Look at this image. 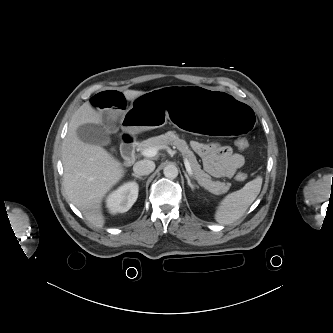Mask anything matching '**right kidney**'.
Returning <instances> with one entry per match:
<instances>
[{
    "mask_svg": "<svg viewBox=\"0 0 333 333\" xmlns=\"http://www.w3.org/2000/svg\"><path fill=\"white\" fill-rule=\"evenodd\" d=\"M138 190V184L130 181L110 193L106 199V207L109 212L116 214L128 211L137 200Z\"/></svg>",
    "mask_w": 333,
    "mask_h": 333,
    "instance_id": "ca27d5eb",
    "label": "right kidney"
}]
</instances>
